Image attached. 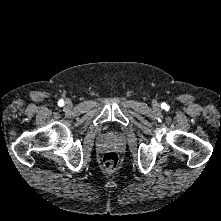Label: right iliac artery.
Instances as JSON below:
<instances>
[{"label":"right iliac artery","instance_id":"1","mask_svg":"<svg viewBox=\"0 0 221 221\" xmlns=\"http://www.w3.org/2000/svg\"><path fill=\"white\" fill-rule=\"evenodd\" d=\"M58 105H59L60 107H62V106L64 105V101H63V100H59V101H58Z\"/></svg>","mask_w":221,"mask_h":221}]
</instances>
